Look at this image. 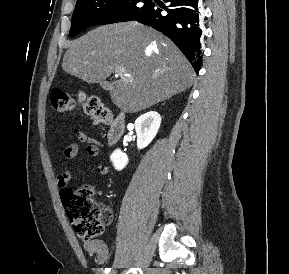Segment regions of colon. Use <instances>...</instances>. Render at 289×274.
Here are the masks:
<instances>
[{"mask_svg":"<svg viewBox=\"0 0 289 274\" xmlns=\"http://www.w3.org/2000/svg\"><path fill=\"white\" fill-rule=\"evenodd\" d=\"M50 101L59 112L72 111L76 107L73 96L62 89H53ZM78 102L83 112L96 124L110 122L111 112L99 98L81 94ZM61 197L75 232L86 241L102 235L113 219L112 210L94 199V189L90 185H83L76 190L64 189Z\"/></svg>","mask_w":289,"mask_h":274,"instance_id":"colon-1","label":"colon"}]
</instances>
